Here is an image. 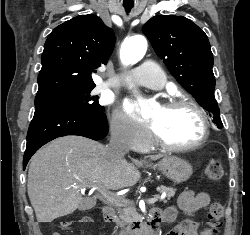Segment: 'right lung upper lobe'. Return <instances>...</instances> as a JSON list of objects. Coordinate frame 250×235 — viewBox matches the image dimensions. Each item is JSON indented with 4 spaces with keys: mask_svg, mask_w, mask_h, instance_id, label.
<instances>
[{
    "mask_svg": "<svg viewBox=\"0 0 250 235\" xmlns=\"http://www.w3.org/2000/svg\"><path fill=\"white\" fill-rule=\"evenodd\" d=\"M114 44L113 30L93 14L57 26L44 45L36 98L94 86L91 73L107 63Z\"/></svg>",
    "mask_w": 250,
    "mask_h": 235,
    "instance_id": "cb5924a9",
    "label": "right lung upper lobe"
}]
</instances>
